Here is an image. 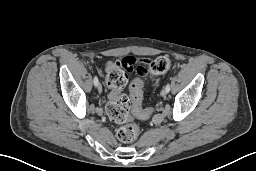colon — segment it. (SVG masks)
<instances>
[{"mask_svg": "<svg viewBox=\"0 0 256 171\" xmlns=\"http://www.w3.org/2000/svg\"><path fill=\"white\" fill-rule=\"evenodd\" d=\"M171 66L168 56H159L150 63V71L153 74H162ZM111 91L106 105V113L110 120L121 124L117 130V138L122 143L134 142L139 136V126L133 121L132 113L146 116L149 110L142 107L143 85L141 79L133 81L129 86L130 96L122 93L127 83V73L119 68L112 70L106 78Z\"/></svg>", "mask_w": 256, "mask_h": 171, "instance_id": "1", "label": "colon"}]
</instances>
